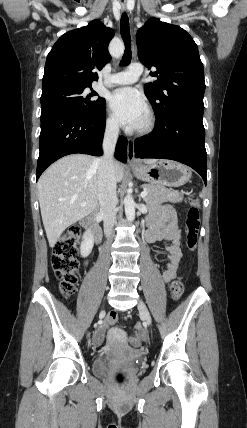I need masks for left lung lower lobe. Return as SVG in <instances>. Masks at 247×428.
Returning a JSON list of instances; mask_svg holds the SVG:
<instances>
[{
    "label": "left lung lower lobe",
    "instance_id": "1",
    "mask_svg": "<svg viewBox=\"0 0 247 428\" xmlns=\"http://www.w3.org/2000/svg\"><path fill=\"white\" fill-rule=\"evenodd\" d=\"M203 110L179 105L157 118L154 133L137 140L133 147L138 158L171 159L192 167L207 182Z\"/></svg>",
    "mask_w": 247,
    "mask_h": 428
}]
</instances>
